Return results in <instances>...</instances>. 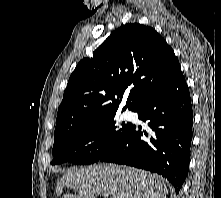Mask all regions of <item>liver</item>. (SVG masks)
Returning <instances> with one entry per match:
<instances>
[{
	"label": "liver",
	"instance_id": "6515ba94",
	"mask_svg": "<svg viewBox=\"0 0 221 198\" xmlns=\"http://www.w3.org/2000/svg\"><path fill=\"white\" fill-rule=\"evenodd\" d=\"M73 189L77 194L63 198H166L165 180L154 173L133 167L113 164L91 165L68 170L57 183L56 193Z\"/></svg>",
	"mask_w": 221,
	"mask_h": 198
}]
</instances>
